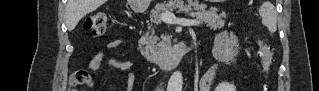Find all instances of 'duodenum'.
Wrapping results in <instances>:
<instances>
[{"label": "duodenum", "instance_id": "1", "mask_svg": "<svg viewBox=\"0 0 319 91\" xmlns=\"http://www.w3.org/2000/svg\"><path fill=\"white\" fill-rule=\"evenodd\" d=\"M193 42H180L168 51H164L154 55H148L147 61L161 68H169L175 65L179 58L190 48L193 47Z\"/></svg>", "mask_w": 319, "mask_h": 91}]
</instances>
